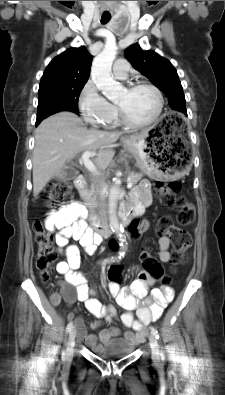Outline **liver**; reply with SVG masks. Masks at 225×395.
I'll return each instance as SVG.
<instances>
[{
    "instance_id": "6515ba94",
    "label": "liver",
    "mask_w": 225,
    "mask_h": 395,
    "mask_svg": "<svg viewBox=\"0 0 225 395\" xmlns=\"http://www.w3.org/2000/svg\"><path fill=\"white\" fill-rule=\"evenodd\" d=\"M123 132L88 130L72 112H59L43 120L35 131L33 150V195L81 152H97L96 167L105 170L114 157L113 143Z\"/></svg>"
}]
</instances>
